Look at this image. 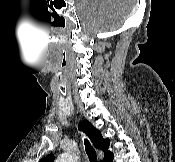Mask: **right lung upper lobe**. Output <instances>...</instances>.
<instances>
[{
  "label": "right lung upper lobe",
  "instance_id": "1",
  "mask_svg": "<svg viewBox=\"0 0 175 162\" xmlns=\"http://www.w3.org/2000/svg\"><path fill=\"white\" fill-rule=\"evenodd\" d=\"M79 129L87 134L95 148L104 151V159L102 162H106V160L112 155V152L108 150L110 140L108 138L104 139L101 132L87 120H84L79 124ZM53 160L54 155L50 154L44 157L40 162H53Z\"/></svg>",
  "mask_w": 175,
  "mask_h": 162
}]
</instances>
